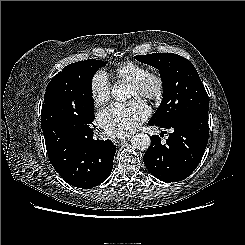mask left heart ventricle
Returning a JSON list of instances; mask_svg holds the SVG:
<instances>
[{
  "label": "left heart ventricle",
  "instance_id": "b2bd125f",
  "mask_svg": "<svg viewBox=\"0 0 245 245\" xmlns=\"http://www.w3.org/2000/svg\"><path fill=\"white\" fill-rule=\"evenodd\" d=\"M138 95V92L133 88V87H129V97H134V96H137Z\"/></svg>",
  "mask_w": 245,
  "mask_h": 245
}]
</instances>
